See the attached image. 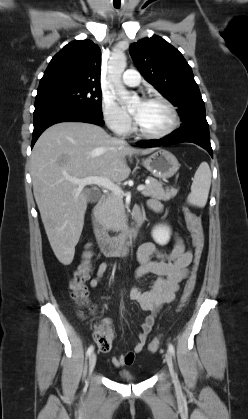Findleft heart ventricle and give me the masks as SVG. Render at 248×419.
<instances>
[{
  "label": "left heart ventricle",
  "instance_id": "obj_1",
  "mask_svg": "<svg viewBox=\"0 0 248 419\" xmlns=\"http://www.w3.org/2000/svg\"><path fill=\"white\" fill-rule=\"evenodd\" d=\"M132 113L135 115L139 126L150 133L164 130L171 122L168 109L159 102H137L132 109Z\"/></svg>",
  "mask_w": 248,
  "mask_h": 419
}]
</instances>
